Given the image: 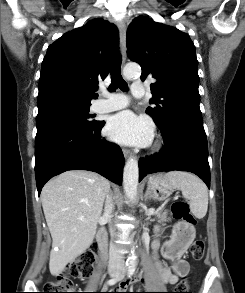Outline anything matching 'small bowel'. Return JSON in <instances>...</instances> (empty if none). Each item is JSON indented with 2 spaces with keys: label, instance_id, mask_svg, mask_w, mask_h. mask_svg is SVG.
I'll use <instances>...</instances> for the list:
<instances>
[{
  "label": "small bowel",
  "instance_id": "obj_1",
  "mask_svg": "<svg viewBox=\"0 0 245 293\" xmlns=\"http://www.w3.org/2000/svg\"><path fill=\"white\" fill-rule=\"evenodd\" d=\"M152 248L154 251L157 270L164 284L174 285L178 282L179 278L188 274L189 264L186 260L180 258L181 250H179L177 246L173 244L172 239L167 240L160 251L161 255L170 262L169 267L164 265L159 260L160 242L158 239L153 241ZM128 285V281H125L121 284V288L126 289L128 288Z\"/></svg>",
  "mask_w": 245,
  "mask_h": 293
}]
</instances>
